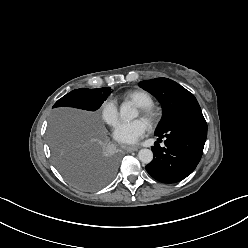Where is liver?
<instances>
[{"mask_svg":"<svg viewBox=\"0 0 248 248\" xmlns=\"http://www.w3.org/2000/svg\"><path fill=\"white\" fill-rule=\"evenodd\" d=\"M71 126H72V125L70 124L68 128H70ZM60 128H62V129H67V128H65V126H60ZM52 129H53V128H52ZM52 129L50 130V134H51ZM94 131H96V129H94Z\"/></svg>","mask_w":248,"mask_h":248,"instance_id":"obj_1","label":"liver"}]
</instances>
